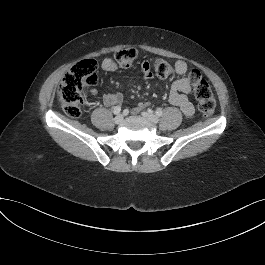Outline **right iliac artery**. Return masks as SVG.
I'll return each instance as SVG.
<instances>
[{"mask_svg": "<svg viewBox=\"0 0 265 265\" xmlns=\"http://www.w3.org/2000/svg\"><path fill=\"white\" fill-rule=\"evenodd\" d=\"M120 111H121V106H115L114 108H113V113L115 114V115H118L119 113H120Z\"/></svg>", "mask_w": 265, "mask_h": 265, "instance_id": "right-iliac-artery-1", "label": "right iliac artery"}]
</instances>
